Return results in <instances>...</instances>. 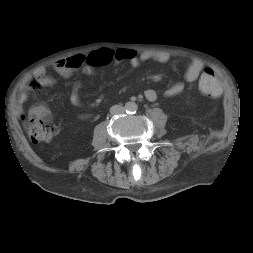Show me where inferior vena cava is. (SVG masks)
Wrapping results in <instances>:
<instances>
[{
	"instance_id": "602c4592",
	"label": "inferior vena cava",
	"mask_w": 253,
	"mask_h": 253,
	"mask_svg": "<svg viewBox=\"0 0 253 253\" xmlns=\"http://www.w3.org/2000/svg\"><path fill=\"white\" fill-rule=\"evenodd\" d=\"M124 112H125V109L121 105H114L110 108V113L112 115H119V114H123Z\"/></svg>"
}]
</instances>
